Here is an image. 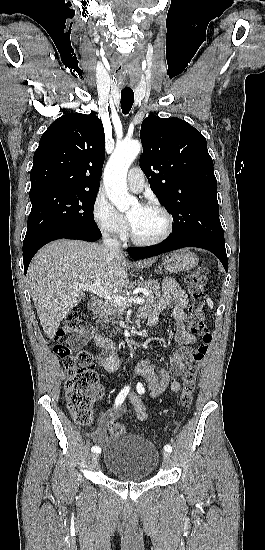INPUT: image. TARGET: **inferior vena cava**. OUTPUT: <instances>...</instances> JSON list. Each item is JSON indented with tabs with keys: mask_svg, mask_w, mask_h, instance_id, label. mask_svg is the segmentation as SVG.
I'll return each instance as SVG.
<instances>
[{
	"mask_svg": "<svg viewBox=\"0 0 265 550\" xmlns=\"http://www.w3.org/2000/svg\"><path fill=\"white\" fill-rule=\"evenodd\" d=\"M103 243L105 248L110 252L112 255L122 254V250L120 247V242L117 239H114L110 236L108 232L103 233Z\"/></svg>",
	"mask_w": 265,
	"mask_h": 550,
	"instance_id": "1",
	"label": "inferior vena cava"
}]
</instances>
